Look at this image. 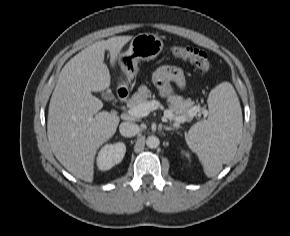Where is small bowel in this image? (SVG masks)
<instances>
[{
	"label": "small bowel",
	"instance_id": "obj_1",
	"mask_svg": "<svg viewBox=\"0 0 290 236\" xmlns=\"http://www.w3.org/2000/svg\"><path fill=\"white\" fill-rule=\"evenodd\" d=\"M183 90L186 86L184 71L177 66H161L154 73V83L164 97H170L173 93L170 83Z\"/></svg>",
	"mask_w": 290,
	"mask_h": 236
}]
</instances>
